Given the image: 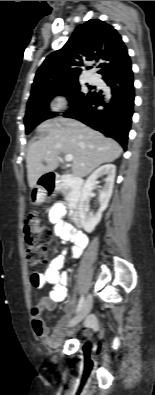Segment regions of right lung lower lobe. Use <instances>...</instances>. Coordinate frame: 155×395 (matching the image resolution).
<instances>
[{
  "mask_svg": "<svg viewBox=\"0 0 155 395\" xmlns=\"http://www.w3.org/2000/svg\"><path fill=\"white\" fill-rule=\"evenodd\" d=\"M103 79L111 88L110 94L92 92L72 105L64 116L114 138L126 150L135 98L132 66L108 71Z\"/></svg>",
  "mask_w": 155,
  "mask_h": 395,
  "instance_id": "right-lung-lower-lobe-1",
  "label": "right lung lower lobe"
}]
</instances>
